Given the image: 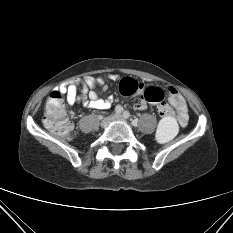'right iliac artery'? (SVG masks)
<instances>
[{
	"mask_svg": "<svg viewBox=\"0 0 233 233\" xmlns=\"http://www.w3.org/2000/svg\"><path fill=\"white\" fill-rule=\"evenodd\" d=\"M122 111H123L122 106H120V105L116 106V108H115L116 114L120 115L122 113Z\"/></svg>",
	"mask_w": 233,
	"mask_h": 233,
	"instance_id": "1",
	"label": "right iliac artery"
}]
</instances>
